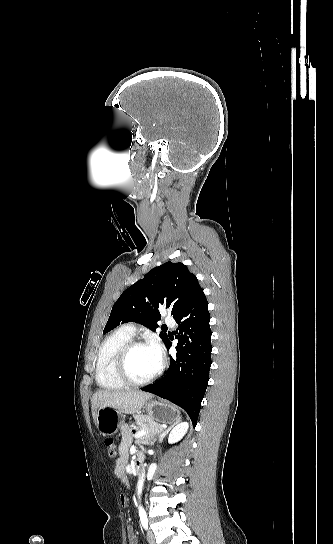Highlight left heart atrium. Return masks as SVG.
<instances>
[{"mask_svg":"<svg viewBox=\"0 0 333 544\" xmlns=\"http://www.w3.org/2000/svg\"><path fill=\"white\" fill-rule=\"evenodd\" d=\"M152 347H153L154 351L156 352L158 358L161 359L162 355H161L160 347L157 344H153Z\"/></svg>","mask_w":333,"mask_h":544,"instance_id":"left-heart-atrium-1","label":"left heart atrium"}]
</instances>
